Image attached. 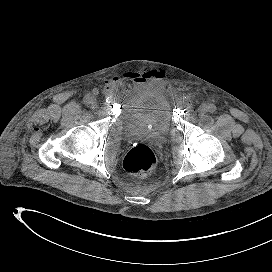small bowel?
<instances>
[{
  "label": "small bowel",
  "instance_id": "c3829d8e",
  "mask_svg": "<svg viewBox=\"0 0 272 272\" xmlns=\"http://www.w3.org/2000/svg\"><path fill=\"white\" fill-rule=\"evenodd\" d=\"M143 77L144 76L142 74H138V73H134V72H127V73L123 74L122 77L113 78L112 81H110L108 83V86L109 87L116 86L118 84H121L124 80H131L133 82L140 83V82L146 81Z\"/></svg>",
  "mask_w": 272,
  "mask_h": 272
}]
</instances>
